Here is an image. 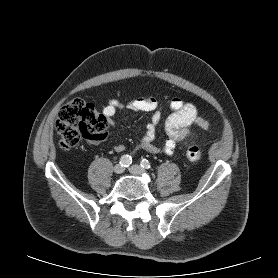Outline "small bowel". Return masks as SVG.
I'll return each mask as SVG.
<instances>
[{
	"label": "small bowel",
	"instance_id": "c3829d8e",
	"mask_svg": "<svg viewBox=\"0 0 278 278\" xmlns=\"http://www.w3.org/2000/svg\"><path fill=\"white\" fill-rule=\"evenodd\" d=\"M125 107L133 111L152 112L151 120L138 148L154 154L163 152L166 155H172L176 144L189 135L191 127L197 126L202 129L209 127L208 120L199 114L194 104L174 97L169 103L171 114L164 123L167 139L162 146H157L154 144V139L157 126L161 121V112L158 110L157 100L152 96L139 97L124 105L117 99H111L103 108V114L107 117L108 123L112 122V118L118 110ZM114 150L121 152L124 150V146L118 144L114 147Z\"/></svg>",
	"mask_w": 278,
	"mask_h": 278
}]
</instances>
